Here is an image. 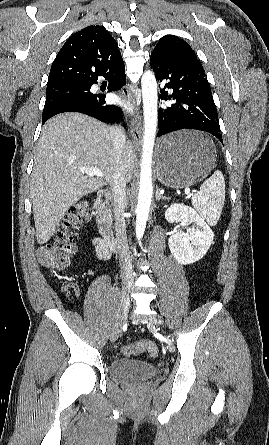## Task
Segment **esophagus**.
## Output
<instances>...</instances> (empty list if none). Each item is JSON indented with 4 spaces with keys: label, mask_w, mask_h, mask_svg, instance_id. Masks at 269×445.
<instances>
[{
    "label": "esophagus",
    "mask_w": 269,
    "mask_h": 445,
    "mask_svg": "<svg viewBox=\"0 0 269 445\" xmlns=\"http://www.w3.org/2000/svg\"><path fill=\"white\" fill-rule=\"evenodd\" d=\"M121 94L124 98L131 99L134 106L136 107V110H139L141 100H140V94L137 91L125 87L122 89ZM129 135L135 146L138 147L141 145L143 131L140 122L138 121L137 118L132 119L129 123Z\"/></svg>",
    "instance_id": "1"
}]
</instances>
